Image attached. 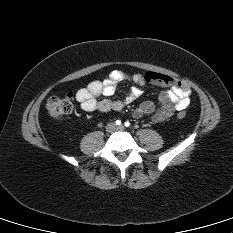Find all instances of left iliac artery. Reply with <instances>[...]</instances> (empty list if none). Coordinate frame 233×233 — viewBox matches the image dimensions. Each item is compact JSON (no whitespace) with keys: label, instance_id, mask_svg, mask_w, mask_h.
Masks as SVG:
<instances>
[{"label":"left iliac artery","instance_id":"44dca946","mask_svg":"<svg viewBox=\"0 0 233 233\" xmlns=\"http://www.w3.org/2000/svg\"><path fill=\"white\" fill-rule=\"evenodd\" d=\"M124 124H125L126 127H129V126H130V122H128V121L125 122Z\"/></svg>","mask_w":233,"mask_h":233}]
</instances>
